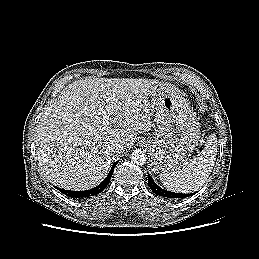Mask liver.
<instances>
[{
  "mask_svg": "<svg viewBox=\"0 0 259 259\" xmlns=\"http://www.w3.org/2000/svg\"><path fill=\"white\" fill-rule=\"evenodd\" d=\"M157 80L93 78L65 87L35 131L38 164L53 185L87 190L107 176L116 155L151 129L149 96ZM121 148L113 152L111 144Z\"/></svg>",
  "mask_w": 259,
  "mask_h": 259,
  "instance_id": "6515ba94",
  "label": "liver"
}]
</instances>
